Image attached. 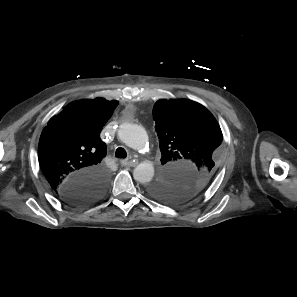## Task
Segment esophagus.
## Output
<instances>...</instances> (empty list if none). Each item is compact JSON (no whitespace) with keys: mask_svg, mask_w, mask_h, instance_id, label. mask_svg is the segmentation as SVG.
<instances>
[{"mask_svg":"<svg viewBox=\"0 0 297 297\" xmlns=\"http://www.w3.org/2000/svg\"><path fill=\"white\" fill-rule=\"evenodd\" d=\"M120 163L122 166L126 167H134L137 165V162L131 160H121Z\"/></svg>","mask_w":297,"mask_h":297,"instance_id":"esophagus-1","label":"esophagus"}]
</instances>
